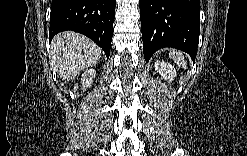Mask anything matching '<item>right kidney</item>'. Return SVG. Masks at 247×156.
<instances>
[{
  "label": "right kidney",
  "instance_id": "right-kidney-1",
  "mask_svg": "<svg viewBox=\"0 0 247 156\" xmlns=\"http://www.w3.org/2000/svg\"><path fill=\"white\" fill-rule=\"evenodd\" d=\"M95 76L96 71L94 69H89L82 74L81 84L83 87V91L85 90V87L88 88L92 85Z\"/></svg>",
  "mask_w": 247,
  "mask_h": 156
}]
</instances>
